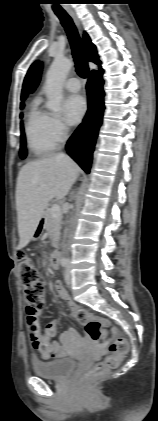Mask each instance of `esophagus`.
Returning a JSON list of instances; mask_svg holds the SVG:
<instances>
[{
	"label": "esophagus",
	"mask_w": 158,
	"mask_h": 421,
	"mask_svg": "<svg viewBox=\"0 0 158 421\" xmlns=\"http://www.w3.org/2000/svg\"><path fill=\"white\" fill-rule=\"evenodd\" d=\"M71 17L73 18L75 24L80 28V21L77 18L76 14L74 12H70Z\"/></svg>",
	"instance_id": "34e87169"
}]
</instances>
